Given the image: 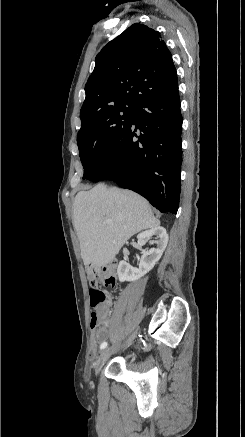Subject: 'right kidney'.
Segmentation results:
<instances>
[{
  "label": "right kidney",
  "mask_w": 245,
  "mask_h": 437,
  "mask_svg": "<svg viewBox=\"0 0 245 437\" xmlns=\"http://www.w3.org/2000/svg\"><path fill=\"white\" fill-rule=\"evenodd\" d=\"M152 236H156L157 238V240L154 241L157 247L151 248L150 250H142V256L138 268L132 267L124 260L119 262L117 268L119 281H136L147 274L159 261L167 246L169 237L166 229L158 226L138 234V244L142 245L145 243L146 239L151 238Z\"/></svg>",
  "instance_id": "obj_1"
}]
</instances>
